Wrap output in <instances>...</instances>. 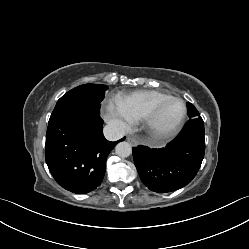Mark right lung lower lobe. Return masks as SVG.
Listing matches in <instances>:
<instances>
[{"instance_id":"obj_1","label":"right lung lower lobe","mask_w":249,"mask_h":249,"mask_svg":"<svg viewBox=\"0 0 249 249\" xmlns=\"http://www.w3.org/2000/svg\"><path fill=\"white\" fill-rule=\"evenodd\" d=\"M102 125L100 111L95 109L74 110L48 124L46 163L66 190L83 194L101 184L107 156L119 142L106 140Z\"/></svg>"}]
</instances>
